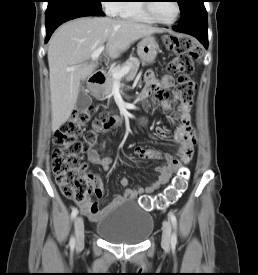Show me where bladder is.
<instances>
[{
	"mask_svg": "<svg viewBox=\"0 0 258 275\" xmlns=\"http://www.w3.org/2000/svg\"><path fill=\"white\" fill-rule=\"evenodd\" d=\"M154 227L150 213L126 202L106 212L95 225L104 240L117 244H140L148 239Z\"/></svg>",
	"mask_w": 258,
	"mask_h": 275,
	"instance_id": "31cf9c89",
	"label": "bladder"
}]
</instances>
